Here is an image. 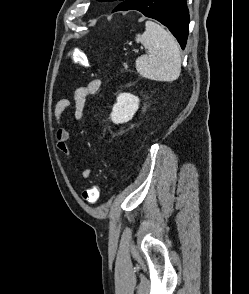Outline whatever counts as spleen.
<instances>
[{"mask_svg": "<svg viewBox=\"0 0 249 294\" xmlns=\"http://www.w3.org/2000/svg\"><path fill=\"white\" fill-rule=\"evenodd\" d=\"M146 30L136 35L149 55L136 59V70L144 78L172 82L180 76L181 56L177 41L173 35L159 24L146 21Z\"/></svg>", "mask_w": 249, "mask_h": 294, "instance_id": "3e777b00", "label": "spleen"}]
</instances>
